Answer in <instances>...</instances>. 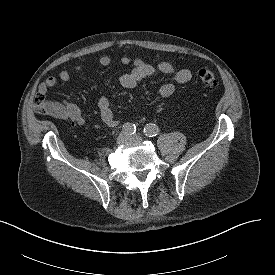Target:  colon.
Returning <instances> with one entry per match:
<instances>
[{"mask_svg":"<svg viewBox=\"0 0 275 275\" xmlns=\"http://www.w3.org/2000/svg\"><path fill=\"white\" fill-rule=\"evenodd\" d=\"M198 77L201 83L208 88H214L218 84L217 73L211 68H202L198 71ZM34 106L39 114H47L50 103L46 100L45 94L40 91L34 99Z\"/></svg>","mask_w":275,"mask_h":275,"instance_id":"colon-1","label":"colon"}]
</instances>
